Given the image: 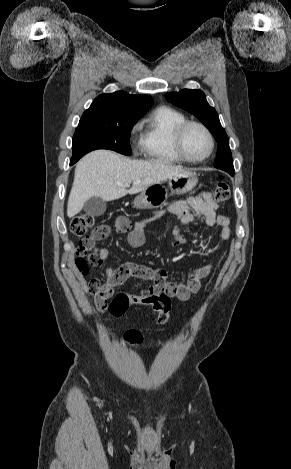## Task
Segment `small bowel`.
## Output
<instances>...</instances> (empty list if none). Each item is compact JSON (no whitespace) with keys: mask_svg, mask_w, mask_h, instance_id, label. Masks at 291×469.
<instances>
[{"mask_svg":"<svg viewBox=\"0 0 291 469\" xmlns=\"http://www.w3.org/2000/svg\"><path fill=\"white\" fill-rule=\"evenodd\" d=\"M218 207V204L212 200L211 195L203 192L190 196L186 200L175 201L166 211L158 213L155 218H162L166 215H172L177 218L178 224L174 226L172 231L174 238L173 246H182L186 243V239L181 233V226L192 223L196 218L200 219L207 227L218 226L221 229V239L227 240L231 235L230 221L227 216L217 214ZM145 222L146 220H141L132 226L127 217L119 216L114 221L113 227L118 233L127 235V243L131 248H140L145 243ZM104 226L107 229L105 236L107 237L110 227ZM90 250V255L99 259L101 264L109 257L107 249L92 247ZM104 272L107 276L106 283L101 284L97 279H92L89 282H96L101 285L99 291L94 294L95 304L101 311L109 309L111 303L108 305V300L113 297L115 287L131 278L151 280L154 284L141 294H128L129 299L147 297L149 293H167L170 298L187 301L191 295L200 291L202 280L207 278L212 272V264L207 263L193 270L184 283L169 282L166 271L161 268H150L131 262L124 263L117 268L104 266Z\"/></svg>","mask_w":291,"mask_h":469,"instance_id":"1","label":"small bowel"}]
</instances>
